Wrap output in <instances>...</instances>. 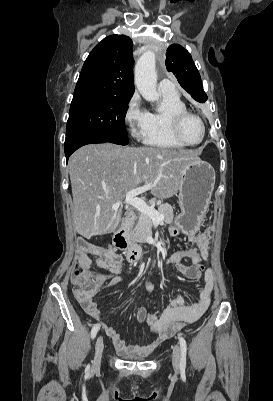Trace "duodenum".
Returning <instances> with one entry per match:
<instances>
[{
    "mask_svg": "<svg viewBox=\"0 0 273 401\" xmlns=\"http://www.w3.org/2000/svg\"><path fill=\"white\" fill-rule=\"evenodd\" d=\"M134 219L133 213H127L118 228L114 242L117 248L125 253L127 261L131 264H138L145 260L154 259L157 255L155 250L143 249L133 243L128 237V228Z\"/></svg>",
    "mask_w": 273,
    "mask_h": 401,
    "instance_id": "410a0bca",
    "label": "duodenum"
}]
</instances>
